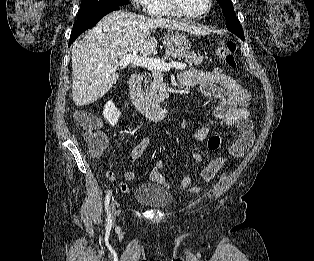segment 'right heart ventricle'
Segmentation results:
<instances>
[{
    "label": "right heart ventricle",
    "mask_w": 314,
    "mask_h": 261,
    "mask_svg": "<svg viewBox=\"0 0 314 261\" xmlns=\"http://www.w3.org/2000/svg\"><path fill=\"white\" fill-rule=\"evenodd\" d=\"M150 13L157 16H179V14L168 6L166 0H155L150 9Z\"/></svg>",
    "instance_id": "right-heart-ventricle-1"
}]
</instances>
